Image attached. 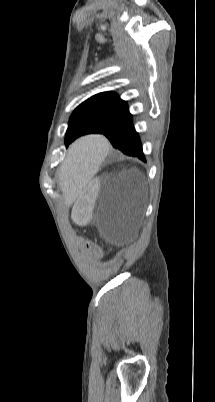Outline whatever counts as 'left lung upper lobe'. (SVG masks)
<instances>
[{"label":"left lung upper lobe","mask_w":215,"mask_h":402,"mask_svg":"<svg viewBox=\"0 0 215 402\" xmlns=\"http://www.w3.org/2000/svg\"><path fill=\"white\" fill-rule=\"evenodd\" d=\"M125 108L126 102L113 92H103L90 97L74 110L69 119L65 135L66 146L82 135L93 133Z\"/></svg>","instance_id":"obj_1"}]
</instances>
